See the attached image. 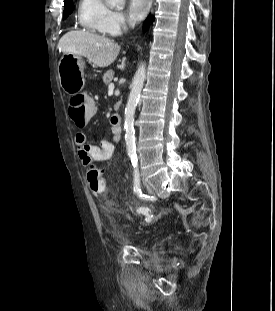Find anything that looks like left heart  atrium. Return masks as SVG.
<instances>
[{
	"mask_svg": "<svg viewBox=\"0 0 275 311\" xmlns=\"http://www.w3.org/2000/svg\"><path fill=\"white\" fill-rule=\"evenodd\" d=\"M150 7L149 0H129L128 15L129 18L136 22L142 20L148 13Z\"/></svg>",
	"mask_w": 275,
	"mask_h": 311,
	"instance_id": "1",
	"label": "left heart atrium"
}]
</instances>
